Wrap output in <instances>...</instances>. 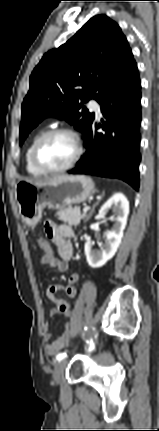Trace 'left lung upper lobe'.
<instances>
[{
  "instance_id": "5c2ea615",
  "label": "left lung upper lobe",
  "mask_w": 159,
  "mask_h": 431,
  "mask_svg": "<svg viewBox=\"0 0 159 431\" xmlns=\"http://www.w3.org/2000/svg\"><path fill=\"white\" fill-rule=\"evenodd\" d=\"M133 61L117 23L105 15L91 18L65 44L45 53L33 70L22 103L20 145L48 116L66 118L85 136L94 113L83 103H101Z\"/></svg>"
}]
</instances>
